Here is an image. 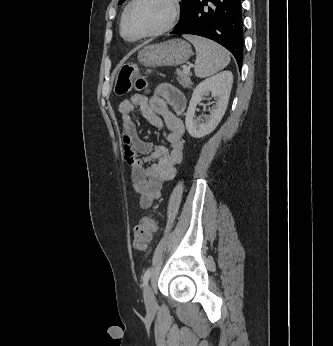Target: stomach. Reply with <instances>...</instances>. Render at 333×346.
I'll list each match as a JSON object with an SVG mask.
<instances>
[{
	"instance_id": "1",
	"label": "stomach",
	"mask_w": 333,
	"mask_h": 346,
	"mask_svg": "<svg viewBox=\"0 0 333 346\" xmlns=\"http://www.w3.org/2000/svg\"><path fill=\"white\" fill-rule=\"evenodd\" d=\"M191 55L189 43L173 39L144 47L138 53V61L145 67L178 66L188 61Z\"/></svg>"
}]
</instances>
